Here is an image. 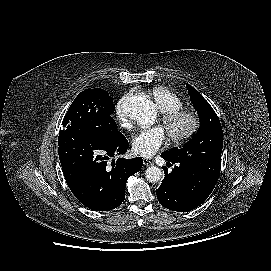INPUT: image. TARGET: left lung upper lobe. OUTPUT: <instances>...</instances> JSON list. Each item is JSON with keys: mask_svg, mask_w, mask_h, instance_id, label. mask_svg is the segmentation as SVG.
<instances>
[{"mask_svg": "<svg viewBox=\"0 0 271 271\" xmlns=\"http://www.w3.org/2000/svg\"><path fill=\"white\" fill-rule=\"evenodd\" d=\"M187 90L200 118V128L183 148L165 153L176 162L193 166L218 179L223 147L220 121L211 105L196 89L187 84Z\"/></svg>", "mask_w": 271, "mask_h": 271, "instance_id": "1", "label": "left lung upper lobe"}]
</instances>
